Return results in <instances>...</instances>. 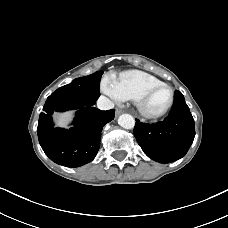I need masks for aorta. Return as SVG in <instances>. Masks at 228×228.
I'll use <instances>...</instances> for the list:
<instances>
[{
	"mask_svg": "<svg viewBox=\"0 0 228 228\" xmlns=\"http://www.w3.org/2000/svg\"><path fill=\"white\" fill-rule=\"evenodd\" d=\"M118 124L125 129H132L135 126V119L130 114H122L118 118Z\"/></svg>",
	"mask_w": 228,
	"mask_h": 228,
	"instance_id": "obj_1",
	"label": "aorta"
}]
</instances>
